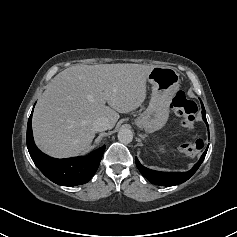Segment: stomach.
<instances>
[{
  "label": "stomach",
  "mask_w": 237,
  "mask_h": 237,
  "mask_svg": "<svg viewBox=\"0 0 237 237\" xmlns=\"http://www.w3.org/2000/svg\"><path fill=\"white\" fill-rule=\"evenodd\" d=\"M152 95L147 109L135 119V124L152 133L161 129L169 117V102L179 85V73L172 67L155 66L147 76Z\"/></svg>",
  "instance_id": "stomach-1"
}]
</instances>
